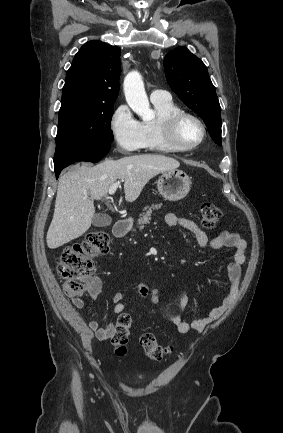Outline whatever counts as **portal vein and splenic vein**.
Instances as JSON below:
<instances>
[{
	"instance_id": "1",
	"label": "portal vein and splenic vein",
	"mask_w": 283,
	"mask_h": 433,
	"mask_svg": "<svg viewBox=\"0 0 283 433\" xmlns=\"http://www.w3.org/2000/svg\"><path fill=\"white\" fill-rule=\"evenodd\" d=\"M119 184H120V180H116V182H114V184H112V186H110V188L108 190L109 194H114V192H115L116 188H118ZM86 198H87V196H86Z\"/></svg>"
}]
</instances>
